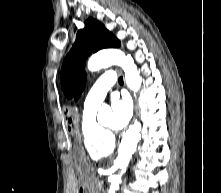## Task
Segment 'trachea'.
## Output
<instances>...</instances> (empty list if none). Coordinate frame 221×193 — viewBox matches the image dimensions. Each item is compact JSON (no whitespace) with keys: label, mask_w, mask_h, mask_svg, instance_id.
Instances as JSON below:
<instances>
[{"label":"trachea","mask_w":221,"mask_h":193,"mask_svg":"<svg viewBox=\"0 0 221 193\" xmlns=\"http://www.w3.org/2000/svg\"><path fill=\"white\" fill-rule=\"evenodd\" d=\"M118 82H119L120 84H123V78L120 77V78L118 79Z\"/></svg>","instance_id":"trachea-1"}]
</instances>
